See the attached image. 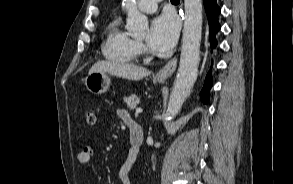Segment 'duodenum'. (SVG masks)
Returning a JSON list of instances; mask_svg holds the SVG:
<instances>
[{"label":"duodenum","mask_w":293,"mask_h":184,"mask_svg":"<svg viewBox=\"0 0 293 184\" xmlns=\"http://www.w3.org/2000/svg\"><path fill=\"white\" fill-rule=\"evenodd\" d=\"M128 127L130 131L131 149L135 154H138L144 139L143 128L134 120L128 123Z\"/></svg>","instance_id":"1"}]
</instances>
